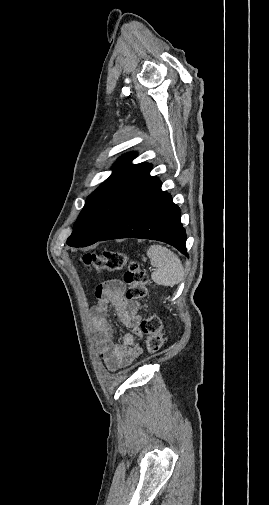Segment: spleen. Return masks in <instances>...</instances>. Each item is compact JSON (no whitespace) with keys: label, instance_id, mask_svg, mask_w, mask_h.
Wrapping results in <instances>:
<instances>
[{"label":"spleen","instance_id":"1","mask_svg":"<svg viewBox=\"0 0 269 505\" xmlns=\"http://www.w3.org/2000/svg\"><path fill=\"white\" fill-rule=\"evenodd\" d=\"M150 264L156 268L152 280L162 286L179 284L184 277V267L179 257L167 247L154 244L147 250Z\"/></svg>","mask_w":269,"mask_h":505}]
</instances>
